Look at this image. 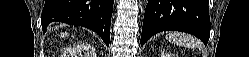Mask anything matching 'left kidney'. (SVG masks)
<instances>
[{
  "instance_id": "obj_1",
  "label": "left kidney",
  "mask_w": 249,
  "mask_h": 57,
  "mask_svg": "<svg viewBox=\"0 0 249 57\" xmlns=\"http://www.w3.org/2000/svg\"><path fill=\"white\" fill-rule=\"evenodd\" d=\"M161 57H172V55L170 53H165V54L163 53Z\"/></svg>"
}]
</instances>
